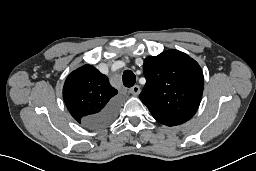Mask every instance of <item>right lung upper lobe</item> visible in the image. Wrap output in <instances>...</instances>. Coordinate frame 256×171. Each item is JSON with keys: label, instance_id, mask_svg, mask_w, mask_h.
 Here are the masks:
<instances>
[{"label": "right lung upper lobe", "instance_id": "1", "mask_svg": "<svg viewBox=\"0 0 256 171\" xmlns=\"http://www.w3.org/2000/svg\"><path fill=\"white\" fill-rule=\"evenodd\" d=\"M117 90L108 78L92 65L73 71L63 87V99L73 118L87 125V119L115 101Z\"/></svg>", "mask_w": 256, "mask_h": 171}]
</instances>
